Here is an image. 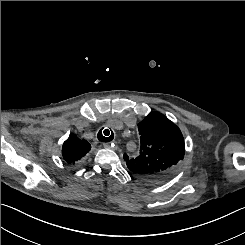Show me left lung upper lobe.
<instances>
[{
  "label": "left lung upper lobe",
  "mask_w": 245,
  "mask_h": 245,
  "mask_svg": "<svg viewBox=\"0 0 245 245\" xmlns=\"http://www.w3.org/2000/svg\"><path fill=\"white\" fill-rule=\"evenodd\" d=\"M140 154L124 160L130 172L146 182H160L169 177L184 158L183 135L173 122L159 112H151L138 124Z\"/></svg>",
  "instance_id": "obj_1"
}]
</instances>
